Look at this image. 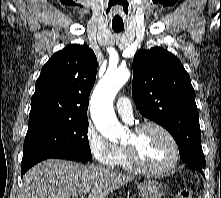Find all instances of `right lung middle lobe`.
I'll use <instances>...</instances> for the list:
<instances>
[{
    "mask_svg": "<svg viewBox=\"0 0 221 198\" xmlns=\"http://www.w3.org/2000/svg\"><path fill=\"white\" fill-rule=\"evenodd\" d=\"M88 119L45 118L29 122L21 167L51 154L92 158L87 137Z\"/></svg>",
    "mask_w": 221,
    "mask_h": 198,
    "instance_id": "1",
    "label": "right lung middle lobe"
}]
</instances>
